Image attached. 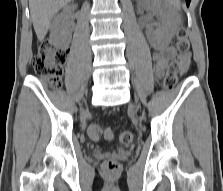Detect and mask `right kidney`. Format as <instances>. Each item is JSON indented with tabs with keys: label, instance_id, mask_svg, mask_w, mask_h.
Wrapping results in <instances>:
<instances>
[{
	"label": "right kidney",
	"instance_id": "1",
	"mask_svg": "<svg viewBox=\"0 0 223 191\" xmlns=\"http://www.w3.org/2000/svg\"><path fill=\"white\" fill-rule=\"evenodd\" d=\"M73 6L68 5L63 9V12L58 14L51 25V42L57 48H65L70 42L72 35L69 28L68 12Z\"/></svg>",
	"mask_w": 223,
	"mask_h": 191
}]
</instances>
